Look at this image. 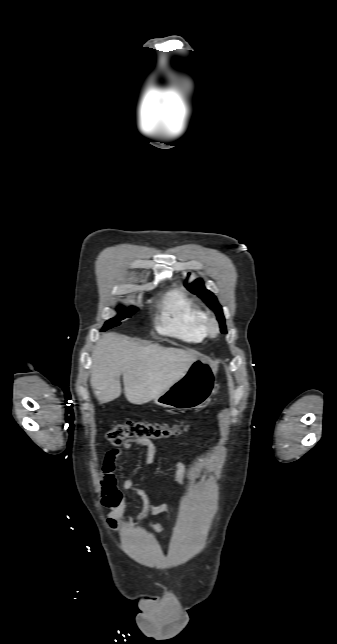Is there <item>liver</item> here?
I'll return each mask as SVG.
<instances>
[{
  "mask_svg": "<svg viewBox=\"0 0 337 644\" xmlns=\"http://www.w3.org/2000/svg\"><path fill=\"white\" fill-rule=\"evenodd\" d=\"M199 353L158 344L141 346L127 336L105 333L92 352L90 384L100 404L124 393L132 404H145L169 389L188 371Z\"/></svg>",
  "mask_w": 337,
  "mask_h": 644,
  "instance_id": "1",
  "label": "liver"
}]
</instances>
